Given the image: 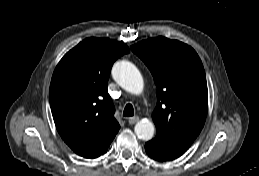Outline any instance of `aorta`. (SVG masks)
Returning a JSON list of instances; mask_svg holds the SVG:
<instances>
[{
    "label": "aorta",
    "instance_id": "obj_1",
    "mask_svg": "<svg viewBox=\"0 0 259 176\" xmlns=\"http://www.w3.org/2000/svg\"><path fill=\"white\" fill-rule=\"evenodd\" d=\"M114 80L129 93L139 95L144 88L142 75L138 68L129 61H118L112 68ZM135 134L139 139L148 141L154 136L155 127L151 121L141 120L136 123Z\"/></svg>",
    "mask_w": 259,
    "mask_h": 176
}]
</instances>
